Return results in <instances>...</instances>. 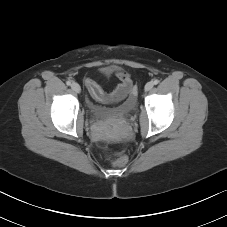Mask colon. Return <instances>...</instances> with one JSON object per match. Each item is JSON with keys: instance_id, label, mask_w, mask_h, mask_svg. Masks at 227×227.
<instances>
[{"instance_id": "5ec220e1", "label": "colon", "mask_w": 227, "mask_h": 227, "mask_svg": "<svg viewBox=\"0 0 227 227\" xmlns=\"http://www.w3.org/2000/svg\"><path fill=\"white\" fill-rule=\"evenodd\" d=\"M112 164L117 167H122L127 163V157L123 154H120L114 158H111Z\"/></svg>"}]
</instances>
